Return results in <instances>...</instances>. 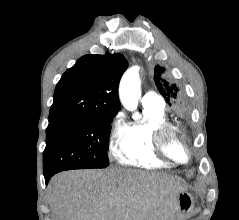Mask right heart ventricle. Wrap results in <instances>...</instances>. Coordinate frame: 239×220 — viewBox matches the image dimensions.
Returning <instances> with one entry per match:
<instances>
[{
    "label": "right heart ventricle",
    "mask_w": 239,
    "mask_h": 220,
    "mask_svg": "<svg viewBox=\"0 0 239 220\" xmlns=\"http://www.w3.org/2000/svg\"><path fill=\"white\" fill-rule=\"evenodd\" d=\"M167 124L164 108L143 105V119L129 124L128 133L116 151L118 162L125 166L154 169L171 166L156 153L154 132Z\"/></svg>",
    "instance_id": "e07e8e85"
}]
</instances>
